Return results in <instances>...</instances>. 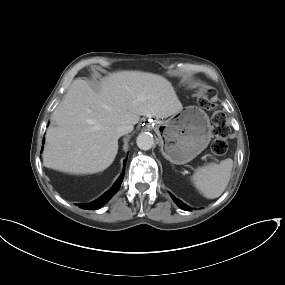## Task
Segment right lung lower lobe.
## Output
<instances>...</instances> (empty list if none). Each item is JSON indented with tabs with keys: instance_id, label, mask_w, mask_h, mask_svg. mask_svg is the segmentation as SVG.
<instances>
[{
	"instance_id": "98d812e1",
	"label": "right lung lower lobe",
	"mask_w": 285,
	"mask_h": 285,
	"mask_svg": "<svg viewBox=\"0 0 285 285\" xmlns=\"http://www.w3.org/2000/svg\"><path fill=\"white\" fill-rule=\"evenodd\" d=\"M44 144V141H43ZM126 160H124L125 162ZM125 166V163H124ZM124 177V171L123 173L120 175V177L118 178V180L115 182V184L112 186V188L110 190H108L107 192H105L101 197H99L97 200L88 203V204H79L78 206L82 209H87V210H97L100 207H102L103 205H105L107 203L108 200H110V198L119 190L120 185L122 183Z\"/></svg>"
}]
</instances>
